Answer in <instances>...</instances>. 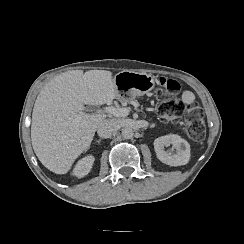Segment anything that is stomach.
<instances>
[{"mask_svg":"<svg viewBox=\"0 0 244 244\" xmlns=\"http://www.w3.org/2000/svg\"><path fill=\"white\" fill-rule=\"evenodd\" d=\"M116 99L126 102L142 96L155 87V77L143 72L123 70L113 78Z\"/></svg>","mask_w":244,"mask_h":244,"instance_id":"1","label":"stomach"}]
</instances>
